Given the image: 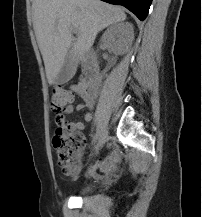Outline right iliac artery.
I'll list each match as a JSON object with an SVG mask.
<instances>
[{"instance_id":"obj_1","label":"right iliac artery","mask_w":202,"mask_h":217,"mask_svg":"<svg viewBox=\"0 0 202 217\" xmlns=\"http://www.w3.org/2000/svg\"><path fill=\"white\" fill-rule=\"evenodd\" d=\"M99 136H100V130L98 129L95 136H94V138H93V143L97 142Z\"/></svg>"}]
</instances>
